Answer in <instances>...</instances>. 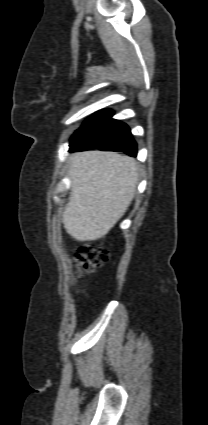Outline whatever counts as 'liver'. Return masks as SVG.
Here are the masks:
<instances>
[{"instance_id": "liver-1", "label": "liver", "mask_w": 208, "mask_h": 425, "mask_svg": "<svg viewBox=\"0 0 208 425\" xmlns=\"http://www.w3.org/2000/svg\"><path fill=\"white\" fill-rule=\"evenodd\" d=\"M71 192L63 213L77 241L104 237L125 214L136 193V161L114 152L86 151L70 157Z\"/></svg>"}]
</instances>
